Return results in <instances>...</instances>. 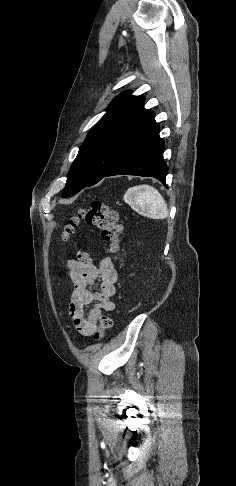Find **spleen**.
Wrapping results in <instances>:
<instances>
[{"instance_id": "3e777b00", "label": "spleen", "mask_w": 236, "mask_h": 486, "mask_svg": "<svg viewBox=\"0 0 236 486\" xmlns=\"http://www.w3.org/2000/svg\"><path fill=\"white\" fill-rule=\"evenodd\" d=\"M124 201L137 213L151 219L168 217L167 204L162 195L152 186L138 185L129 188Z\"/></svg>"}]
</instances>
